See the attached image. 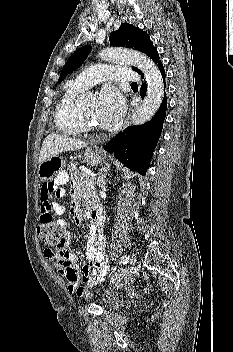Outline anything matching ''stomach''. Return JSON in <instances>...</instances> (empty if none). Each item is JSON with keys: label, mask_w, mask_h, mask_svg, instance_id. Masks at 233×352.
<instances>
[{"label": "stomach", "mask_w": 233, "mask_h": 352, "mask_svg": "<svg viewBox=\"0 0 233 352\" xmlns=\"http://www.w3.org/2000/svg\"><path fill=\"white\" fill-rule=\"evenodd\" d=\"M85 160L93 165L103 164L104 153L97 147L88 148L85 152ZM65 167V160L59 156H53L43 161L38 168V176L42 181L53 179Z\"/></svg>", "instance_id": "1"}]
</instances>
